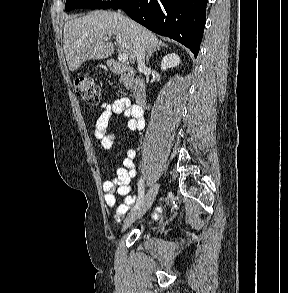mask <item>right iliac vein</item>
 <instances>
[{
	"instance_id": "obj_1",
	"label": "right iliac vein",
	"mask_w": 288,
	"mask_h": 293,
	"mask_svg": "<svg viewBox=\"0 0 288 293\" xmlns=\"http://www.w3.org/2000/svg\"><path fill=\"white\" fill-rule=\"evenodd\" d=\"M159 190V184H153L149 189L148 193L146 194L145 198L143 199L139 208L134 210L125 220L122 230H125L128 226L131 225L137 218L142 217L146 211L151 207L152 203L154 202L157 193Z\"/></svg>"
}]
</instances>
